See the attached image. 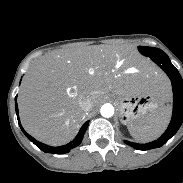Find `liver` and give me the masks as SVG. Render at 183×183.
Wrapping results in <instances>:
<instances>
[{
    "instance_id": "1",
    "label": "liver",
    "mask_w": 183,
    "mask_h": 183,
    "mask_svg": "<svg viewBox=\"0 0 183 183\" xmlns=\"http://www.w3.org/2000/svg\"><path fill=\"white\" fill-rule=\"evenodd\" d=\"M133 66L142 67L144 75L120 72ZM110 92L152 93L162 104L171 96L167 77L141 60L131 47L65 49L42 56L29 68L18 96L22 125L39 141L66 144L86 116L80 98L90 97L93 109Z\"/></svg>"
}]
</instances>
